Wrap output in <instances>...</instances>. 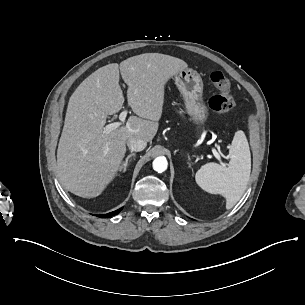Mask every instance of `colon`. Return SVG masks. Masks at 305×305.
I'll list each match as a JSON object with an SVG mask.
<instances>
[{
    "mask_svg": "<svg viewBox=\"0 0 305 305\" xmlns=\"http://www.w3.org/2000/svg\"><path fill=\"white\" fill-rule=\"evenodd\" d=\"M210 81L218 93L209 99V107L221 114L230 112L235 107V101L230 92L228 77L221 71H213L210 73Z\"/></svg>",
    "mask_w": 305,
    "mask_h": 305,
    "instance_id": "colon-1",
    "label": "colon"
}]
</instances>
